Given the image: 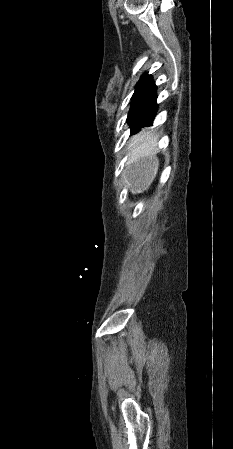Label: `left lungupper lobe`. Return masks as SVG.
Returning <instances> with one entry per match:
<instances>
[{
	"mask_svg": "<svg viewBox=\"0 0 233 449\" xmlns=\"http://www.w3.org/2000/svg\"><path fill=\"white\" fill-rule=\"evenodd\" d=\"M156 88L151 75H143L137 83L127 119V122L131 126V131L139 128L144 120L145 114L156 102Z\"/></svg>",
	"mask_w": 233,
	"mask_h": 449,
	"instance_id": "obj_1",
	"label": "left lung upper lobe"
}]
</instances>
